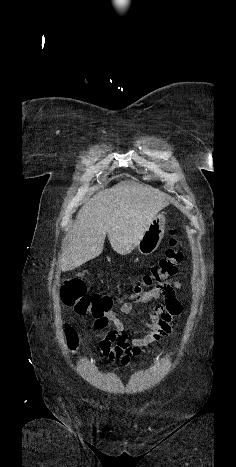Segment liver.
<instances>
[{
    "label": "liver",
    "instance_id": "1",
    "mask_svg": "<svg viewBox=\"0 0 236 467\" xmlns=\"http://www.w3.org/2000/svg\"><path fill=\"white\" fill-rule=\"evenodd\" d=\"M168 205L161 192L132 181L100 191L77 214L59 268L70 271L99 256L106 235L115 252L131 253L147 226Z\"/></svg>",
    "mask_w": 236,
    "mask_h": 467
}]
</instances>
